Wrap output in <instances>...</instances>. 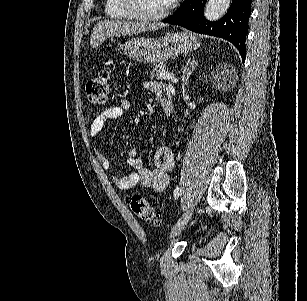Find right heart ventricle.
<instances>
[{
  "mask_svg": "<svg viewBox=\"0 0 307 301\" xmlns=\"http://www.w3.org/2000/svg\"><path fill=\"white\" fill-rule=\"evenodd\" d=\"M108 2L107 10H104V17H127L126 9H118L121 0H106Z\"/></svg>",
  "mask_w": 307,
  "mask_h": 301,
  "instance_id": "e07e8e85",
  "label": "right heart ventricle"
}]
</instances>
